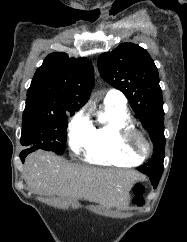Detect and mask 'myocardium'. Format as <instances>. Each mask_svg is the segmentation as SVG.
Returning a JSON list of instances; mask_svg holds the SVG:
<instances>
[{
	"label": "myocardium",
	"mask_w": 187,
	"mask_h": 242,
	"mask_svg": "<svg viewBox=\"0 0 187 242\" xmlns=\"http://www.w3.org/2000/svg\"><path fill=\"white\" fill-rule=\"evenodd\" d=\"M136 138L142 139L146 146H147V151L145 154H139L134 146H133V141ZM119 141L124 149V151L134 157H137L140 161H143L146 159L152 152V144L146 137V135L139 129L135 128L134 126H125L120 130L119 134Z\"/></svg>",
	"instance_id": "1"
}]
</instances>
